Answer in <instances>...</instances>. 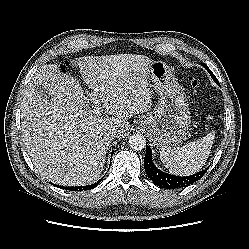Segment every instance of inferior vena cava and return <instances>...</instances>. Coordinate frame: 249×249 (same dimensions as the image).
I'll use <instances>...</instances> for the list:
<instances>
[{"label":"inferior vena cava","mask_w":249,"mask_h":249,"mask_svg":"<svg viewBox=\"0 0 249 249\" xmlns=\"http://www.w3.org/2000/svg\"><path fill=\"white\" fill-rule=\"evenodd\" d=\"M117 135H118V131L116 129H112L107 132V137L112 140L115 139Z\"/></svg>","instance_id":"1"}]
</instances>
